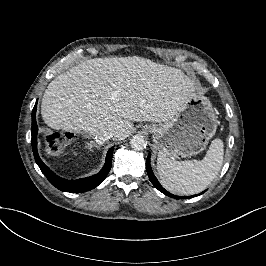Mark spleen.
I'll return each instance as SVG.
<instances>
[{
  "instance_id": "obj_1",
  "label": "spleen",
  "mask_w": 266,
  "mask_h": 266,
  "mask_svg": "<svg viewBox=\"0 0 266 266\" xmlns=\"http://www.w3.org/2000/svg\"><path fill=\"white\" fill-rule=\"evenodd\" d=\"M224 158V144L214 139L201 160L176 161L159 152L157 171L162 186L173 194L193 195L203 191L217 176Z\"/></svg>"
}]
</instances>
